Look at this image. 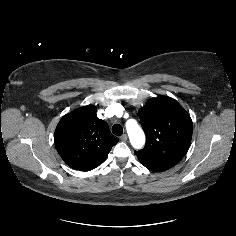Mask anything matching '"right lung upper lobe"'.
I'll return each mask as SVG.
<instances>
[{"label": "right lung upper lobe", "instance_id": "1", "mask_svg": "<svg viewBox=\"0 0 236 236\" xmlns=\"http://www.w3.org/2000/svg\"><path fill=\"white\" fill-rule=\"evenodd\" d=\"M88 105L65 115L58 123L54 141L64 162L75 170L90 171L104 162L118 142L106 121Z\"/></svg>", "mask_w": 236, "mask_h": 236}]
</instances>
